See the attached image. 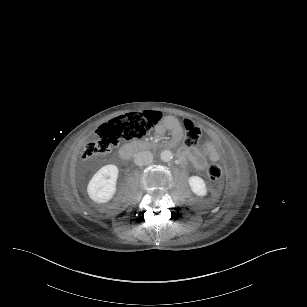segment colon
Here are the masks:
<instances>
[{"label": "colon", "mask_w": 307, "mask_h": 307, "mask_svg": "<svg viewBox=\"0 0 307 307\" xmlns=\"http://www.w3.org/2000/svg\"><path fill=\"white\" fill-rule=\"evenodd\" d=\"M159 111H144L125 114L102 124L97 131V139L86 144L82 153L83 160H89L98 154H105L120 141L137 140L144 137L160 121ZM184 128L183 140L186 146H195L202 135L201 128L188 118L181 120ZM208 178L219 180L222 169L217 163H211L207 169Z\"/></svg>", "instance_id": "colon-1"}]
</instances>
